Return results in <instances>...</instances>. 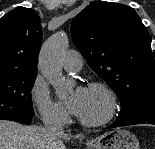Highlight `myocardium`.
Listing matches in <instances>:
<instances>
[{"mask_svg":"<svg viewBox=\"0 0 155 149\" xmlns=\"http://www.w3.org/2000/svg\"><path fill=\"white\" fill-rule=\"evenodd\" d=\"M89 88L101 93L107 102V111L103 117L96 120H87L80 116H77L78 121L89 127H97L108 123L114 116L118 107V98L114 90L107 84L102 82H93L89 85Z\"/></svg>","mask_w":155,"mask_h":149,"instance_id":"1","label":"myocardium"}]
</instances>
